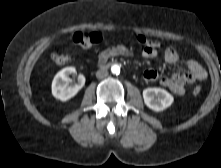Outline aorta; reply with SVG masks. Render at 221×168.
I'll list each match as a JSON object with an SVG mask.
<instances>
[{
  "mask_svg": "<svg viewBox=\"0 0 221 168\" xmlns=\"http://www.w3.org/2000/svg\"><path fill=\"white\" fill-rule=\"evenodd\" d=\"M111 72H112L113 74L118 75V74L120 73V66L117 65V64L112 65V66H111Z\"/></svg>",
  "mask_w": 221,
  "mask_h": 168,
  "instance_id": "762f6f07",
  "label": "aorta"
}]
</instances>
